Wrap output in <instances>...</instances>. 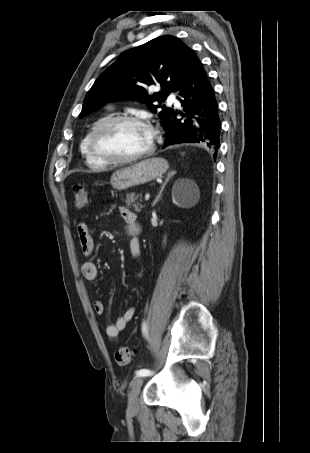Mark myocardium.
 Here are the masks:
<instances>
[{
	"instance_id": "1",
	"label": "myocardium",
	"mask_w": 310,
	"mask_h": 453,
	"mask_svg": "<svg viewBox=\"0 0 310 453\" xmlns=\"http://www.w3.org/2000/svg\"><path fill=\"white\" fill-rule=\"evenodd\" d=\"M120 123H134L139 124L141 126L146 127L148 130L150 129V125L141 117L134 116V115H116L111 116L103 121H101L92 131L90 138H89V147L92 154L99 159L100 161L106 164H115V165H122V164H129L136 162L144 157L151 155L155 149V143L153 137L151 138V143L149 147L135 155L125 157V158H116L110 156L104 152H102L98 146V139L102 133L109 130L113 126L120 124ZM152 131V130H151Z\"/></svg>"
}]
</instances>
